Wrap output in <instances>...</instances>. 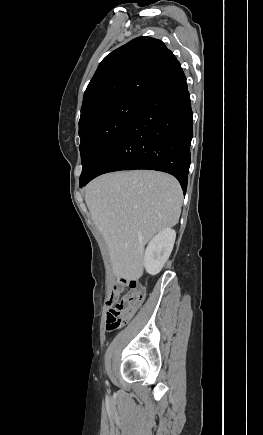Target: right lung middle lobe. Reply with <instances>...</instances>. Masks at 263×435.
Listing matches in <instances>:
<instances>
[{
  "label": "right lung middle lobe",
  "instance_id": "obj_1",
  "mask_svg": "<svg viewBox=\"0 0 263 435\" xmlns=\"http://www.w3.org/2000/svg\"><path fill=\"white\" fill-rule=\"evenodd\" d=\"M143 103L125 99L104 104L79 124L83 166L80 182L96 171Z\"/></svg>",
  "mask_w": 263,
  "mask_h": 435
}]
</instances>
